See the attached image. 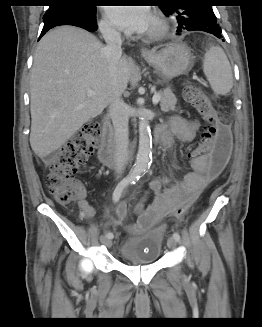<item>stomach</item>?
Instances as JSON below:
<instances>
[{"mask_svg":"<svg viewBox=\"0 0 262 327\" xmlns=\"http://www.w3.org/2000/svg\"><path fill=\"white\" fill-rule=\"evenodd\" d=\"M144 59L154 67L163 81L187 73L193 65L191 50L178 43H172L159 51L144 55Z\"/></svg>","mask_w":262,"mask_h":327,"instance_id":"1","label":"stomach"}]
</instances>
